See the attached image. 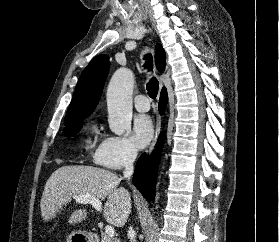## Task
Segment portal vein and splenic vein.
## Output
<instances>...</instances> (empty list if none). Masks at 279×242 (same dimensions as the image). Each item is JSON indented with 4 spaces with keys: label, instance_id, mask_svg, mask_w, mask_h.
Instances as JSON below:
<instances>
[{
    "label": "portal vein and splenic vein",
    "instance_id": "1",
    "mask_svg": "<svg viewBox=\"0 0 279 242\" xmlns=\"http://www.w3.org/2000/svg\"><path fill=\"white\" fill-rule=\"evenodd\" d=\"M74 199L78 202V203H83V204H91L95 209H97L98 211L102 210V206H101V201L98 198L95 197H91V196H85V195H79V196H75ZM105 234L108 237H114L115 234V229L113 226L111 225H107L105 227Z\"/></svg>",
    "mask_w": 279,
    "mask_h": 242
}]
</instances>
